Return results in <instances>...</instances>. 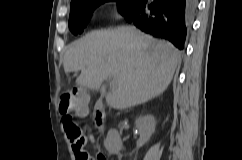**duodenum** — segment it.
<instances>
[{"label":"duodenum","instance_id":"1","mask_svg":"<svg viewBox=\"0 0 242 160\" xmlns=\"http://www.w3.org/2000/svg\"><path fill=\"white\" fill-rule=\"evenodd\" d=\"M106 119V111L104 104L101 101H97L93 111V120L95 126L100 129L103 127Z\"/></svg>","mask_w":242,"mask_h":160}]
</instances>
